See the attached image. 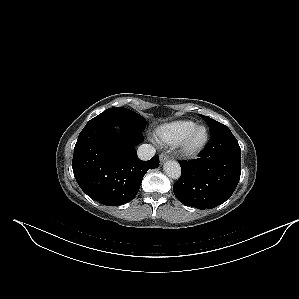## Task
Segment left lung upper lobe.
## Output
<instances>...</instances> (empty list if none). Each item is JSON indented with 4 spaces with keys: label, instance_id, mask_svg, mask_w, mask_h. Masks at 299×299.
I'll list each match as a JSON object with an SVG mask.
<instances>
[{
    "label": "left lung upper lobe",
    "instance_id": "obj_1",
    "mask_svg": "<svg viewBox=\"0 0 299 299\" xmlns=\"http://www.w3.org/2000/svg\"><path fill=\"white\" fill-rule=\"evenodd\" d=\"M200 116L208 123L211 134L225 126L214 119H210L208 116Z\"/></svg>",
    "mask_w": 299,
    "mask_h": 299
}]
</instances>
